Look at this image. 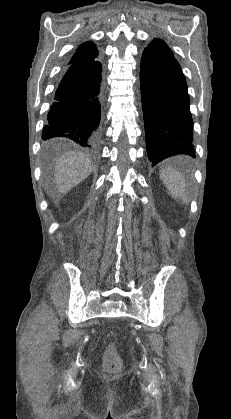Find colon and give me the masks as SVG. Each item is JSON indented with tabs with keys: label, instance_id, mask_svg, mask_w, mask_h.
I'll use <instances>...</instances> for the list:
<instances>
[{
	"label": "colon",
	"instance_id": "1",
	"mask_svg": "<svg viewBox=\"0 0 231 419\" xmlns=\"http://www.w3.org/2000/svg\"><path fill=\"white\" fill-rule=\"evenodd\" d=\"M121 366V360L116 352V350L113 347H110L105 355L104 359V368L108 372H115L117 371Z\"/></svg>",
	"mask_w": 231,
	"mask_h": 419
}]
</instances>
